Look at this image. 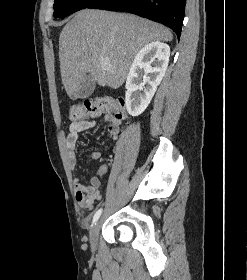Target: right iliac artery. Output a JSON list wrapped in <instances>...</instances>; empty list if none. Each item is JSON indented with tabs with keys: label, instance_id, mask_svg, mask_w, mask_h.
Wrapping results in <instances>:
<instances>
[{
	"label": "right iliac artery",
	"instance_id": "82829eb1",
	"mask_svg": "<svg viewBox=\"0 0 247 280\" xmlns=\"http://www.w3.org/2000/svg\"><path fill=\"white\" fill-rule=\"evenodd\" d=\"M101 213H102V208H100V209L95 213V215H94V217H93V221H92L93 223H96V222H97V220L99 219Z\"/></svg>",
	"mask_w": 247,
	"mask_h": 280
}]
</instances>
